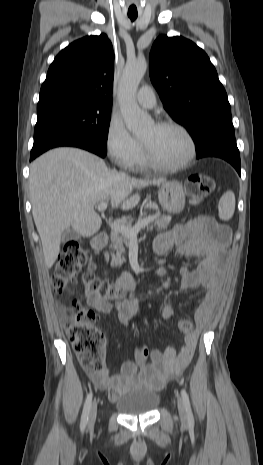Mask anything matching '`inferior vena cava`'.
I'll use <instances>...</instances> for the list:
<instances>
[{"instance_id": "1", "label": "inferior vena cava", "mask_w": 263, "mask_h": 465, "mask_svg": "<svg viewBox=\"0 0 263 465\" xmlns=\"http://www.w3.org/2000/svg\"><path fill=\"white\" fill-rule=\"evenodd\" d=\"M120 175H121V176H123V177H125V176H126V174H125V173H123V172H121V173H120Z\"/></svg>"}]
</instances>
